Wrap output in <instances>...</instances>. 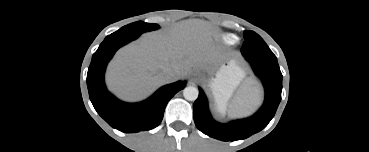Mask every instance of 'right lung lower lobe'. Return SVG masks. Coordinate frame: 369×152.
Returning <instances> with one entry per match:
<instances>
[{"mask_svg": "<svg viewBox=\"0 0 369 152\" xmlns=\"http://www.w3.org/2000/svg\"><path fill=\"white\" fill-rule=\"evenodd\" d=\"M139 36L124 32L107 36L93 54L87 74L89 96L95 110L110 126L126 133L157 127L162 121L167 103L186 83L178 81L165 85L147 100L135 104L124 103L109 93L104 83L109 60L120 47Z\"/></svg>", "mask_w": 369, "mask_h": 152, "instance_id": "right-lung-lower-lobe-1", "label": "right lung lower lobe"}]
</instances>
